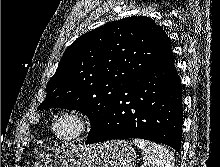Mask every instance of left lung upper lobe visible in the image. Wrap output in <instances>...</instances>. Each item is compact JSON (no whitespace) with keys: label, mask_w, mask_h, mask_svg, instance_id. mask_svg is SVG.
<instances>
[{"label":"left lung upper lobe","mask_w":220,"mask_h":167,"mask_svg":"<svg viewBox=\"0 0 220 167\" xmlns=\"http://www.w3.org/2000/svg\"><path fill=\"white\" fill-rule=\"evenodd\" d=\"M172 54L165 30L145 16L107 23L76 39L64 52L38 109L79 110L102 127L116 94Z\"/></svg>","instance_id":"1"}]
</instances>
